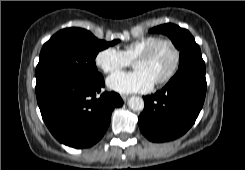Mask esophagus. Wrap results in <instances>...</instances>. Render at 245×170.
I'll list each match as a JSON object with an SVG mask.
<instances>
[{
  "label": "esophagus",
  "mask_w": 245,
  "mask_h": 170,
  "mask_svg": "<svg viewBox=\"0 0 245 170\" xmlns=\"http://www.w3.org/2000/svg\"><path fill=\"white\" fill-rule=\"evenodd\" d=\"M122 99L124 102H126L129 99V96L128 95H122Z\"/></svg>",
  "instance_id": "esophagus-1"
}]
</instances>
